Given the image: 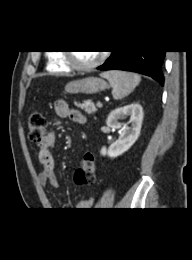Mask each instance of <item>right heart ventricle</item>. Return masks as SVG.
I'll return each mask as SVG.
<instances>
[{
	"mask_svg": "<svg viewBox=\"0 0 192 260\" xmlns=\"http://www.w3.org/2000/svg\"><path fill=\"white\" fill-rule=\"evenodd\" d=\"M47 69L54 73H67L70 71V67L66 64L60 52H53L48 55Z\"/></svg>",
	"mask_w": 192,
	"mask_h": 260,
	"instance_id": "1",
	"label": "right heart ventricle"
}]
</instances>
